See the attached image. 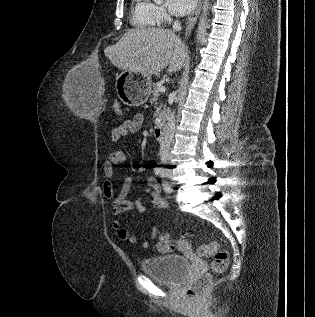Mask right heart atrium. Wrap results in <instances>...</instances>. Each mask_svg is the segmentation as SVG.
<instances>
[{
  "label": "right heart atrium",
  "instance_id": "d8ad5b80",
  "mask_svg": "<svg viewBox=\"0 0 315 317\" xmlns=\"http://www.w3.org/2000/svg\"><path fill=\"white\" fill-rule=\"evenodd\" d=\"M156 16L159 21H166L169 19V14L166 8L162 5H153Z\"/></svg>",
  "mask_w": 315,
  "mask_h": 317
}]
</instances>
